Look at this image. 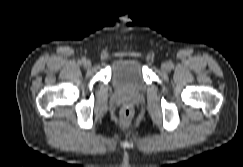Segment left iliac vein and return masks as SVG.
Segmentation results:
<instances>
[{
  "mask_svg": "<svg viewBox=\"0 0 243 167\" xmlns=\"http://www.w3.org/2000/svg\"><path fill=\"white\" fill-rule=\"evenodd\" d=\"M161 69H162L163 72H167L170 69L169 63H166V62L162 63Z\"/></svg>",
  "mask_w": 243,
  "mask_h": 167,
  "instance_id": "obj_1",
  "label": "left iliac vein"
}]
</instances>
